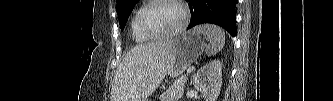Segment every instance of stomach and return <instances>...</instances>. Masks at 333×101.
Masks as SVG:
<instances>
[{
  "label": "stomach",
  "mask_w": 333,
  "mask_h": 101,
  "mask_svg": "<svg viewBox=\"0 0 333 101\" xmlns=\"http://www.w3.org/2000/svg\"><path fill=\"white\" fill-rule=\"evenodd\" d=\"M206 44L201 34L194 30L173 39L168 75L177 78L203 53Z\"/></svg>",
  "instance_id": "stomach-1"
}]
</instances>
